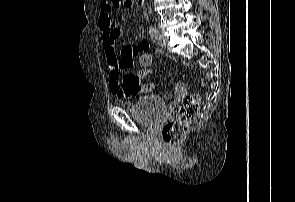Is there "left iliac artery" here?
Wrapping results in <instances>:
<instances>
[{
	"mask_svg": "<svg viewBox=\"0 0 295 202\" xmlns=\"http://www.w3.org/2000/svg\"><path fill=\"white\" fill-rule=\"evenodd\" d=\"M149 32L151 33L153 38H155V39L159 38L158 31L152 25L149 27Z\"/></svg>",
	"mask_w": 295,
	"mask_h": 202,
	"instance_id": "1",
	"label": "left iliac artery"
}]
</instances>
